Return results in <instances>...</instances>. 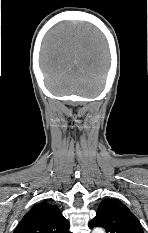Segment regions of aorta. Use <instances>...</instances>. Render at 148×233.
Instances as JSON below:
<instances>
[{"instance_id": "aorta-1", "label": "aorta", "mask_w": 148, "mask_h": 233, "mask_svg": "<svg viewBox=\"0 0 148 233\" xmlns=\"http://www.w3.org/2000/svg\"><path fill=\"white\" fill-rule=\"evenodd\" d=\"M92 233H105V231L102 228H95Z\"/></svg>"}]
</instances>
